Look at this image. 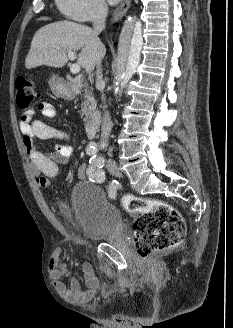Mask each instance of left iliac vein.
Here are the masks:
<instances>
[{
    "instance_id": "obj_1",
    "label": "left iliac vein",
    "mask_w": 233,
    "mask_h": 328,
    "mask_svg": "<svg viewBox=\"0 0 233 328\" xmlns=\"http://www.w3.org/2000/svg\"><path fill=\"white\" fill-rule=\"evenodd\" d=\"M107 168L108 171L115 177H122V172L120 171L117 163L113 159H108L107 160Z\"/></svg>"
}]
</instances>
